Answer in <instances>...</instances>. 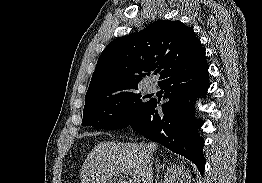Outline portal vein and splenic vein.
<instances>
[{
	"mask_svg": "<svg viewBox=\"0 0 262 183\" xmlns=\"http://www.w3.org/2000/svg\"><path fill=\"white\" fill-rule=\"evenodd\" d=\"M121 173L126 175V176H131L133 183H140L141 182L140 178L138 176H136L135 174H133L130 170H123Z\"/></svg>",
	"mask_w": 262,
	"mask_h": 183,
	"instance_id": "obj_1",
	"label": "portal vein and splenic vein"
}]
</instances>
